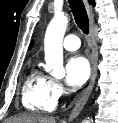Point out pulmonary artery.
Wrapping results in <instances>:
<instances>
[{
    "label": "pulmonary artery",
    "mask_w": 118,
    "mask_h": 123,
    "mask_svg": "<svg viewBox=\"0 0 118 123\" xmlns=\"http://www.w3.org/2000/svg\"><path fill=\"white\" fill-rule=\"evenodd\" d=\"M80 39L73 34L67 35L63 40V47L68 51H75L80 47Z\"/></svg>",
    "instance_id": "pulmonary-artery-1"
}]
</instances>
